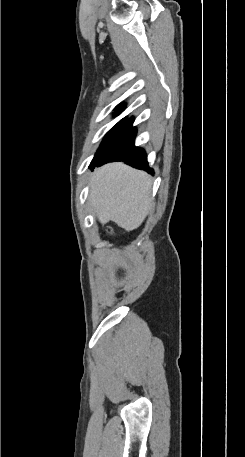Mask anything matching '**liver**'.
<instances>
[{
  "mask_svg": "<svg viewBox=\"0 0 245 457\" xmlns=\"http://www.w3.org/2000/svg\"><path fill=\"white\" fill-rule=\"evenodd\" d=\"M151 182L144 170L109 162L95 170L90 202L102 224L114 220L125 231L138 229L149 212Z\"/></svg>",
  "mask_w": 245,
  "mask_h": 457,
  "instance_id": "liver-1",
  "label": "liver"
}]
</instances>
